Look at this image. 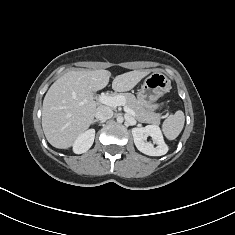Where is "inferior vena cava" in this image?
Wrapping results in <instances>:
<instances>
[{
	"instance_id": "obj_1",
	"label": "inferior vena cava",
	"mask_w": 235,
	"mask_h": 235,
	"mask_svg": "<svg viewBox=\"0 0 235 235\" xmlns=\"http://www.w3.org/2000/svg\"><path fill=\"white\" fill-rule=\"evenodd\" d=\"M113 116V111L107 106H100L97 108L95 117L97 120H107Z\"/></svg>"
}]
</instances>
